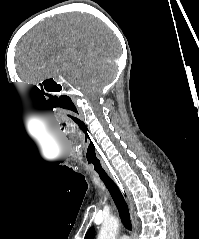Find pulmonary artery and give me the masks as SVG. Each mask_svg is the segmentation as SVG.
I'll return each mask as SVG.
<instances>
[{
	"label": "pulmonary artery",
	"instance_id": "obj_1",
	"mask_svg": "<svg viewBox=\"0 0 199 239\" xmlns=\"http://www.w3.org/2000/svg\"><path fill=\"white\" fill-rule=\"evenodd\" d=\"M119 239H129V238H128V236L123 235V236H121Z\"/></svg>",
	"mask_w": 199,
	"mask_h": 239
}]
</instances>
